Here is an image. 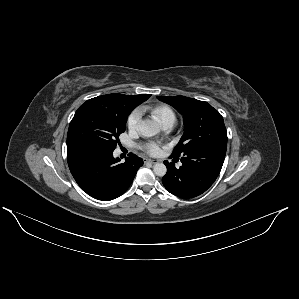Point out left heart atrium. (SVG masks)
<instances>
[{"mask_svg": "<svg viewBox=\"0 0 299 299\" xmlns=\"http://www.w3.org/2000/svg\"><path fill=\"white\" fill-rule=\"evenodd\" d=\"M142 147L144 151L151 156H157L161 152V146L156 142H147L143 144Z\"/></svg>", "mask_w": 299, "mask_h": 299, "instance_id": "1", "label": "left heart atrium"}]
</instances>
